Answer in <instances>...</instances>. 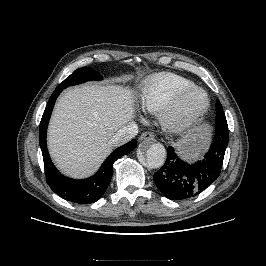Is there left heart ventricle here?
Masks as SVG:
<instances>
[{"label": "left heart ventricle", "instance_id": "b2bd125f", "mask_svg": "<svg viewBox=\"0 0 266 266\" xmlns=\"http://www.w3.org/2000/svg\"><path fill=\"white\" fill-rule=\"evenodd\" d=\"M204 105V97L196 91L189 92L181 103V109L188 113H193Z\"/></svg>", "mask_w": 266, "mask_h": 266}]
</instances>
